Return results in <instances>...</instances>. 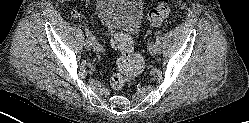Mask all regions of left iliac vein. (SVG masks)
Masks as SVG:
<instances>
[{
    "instance_id": "left-iliac-vein-1",
    "label": "left iliac vein",
    "mask_w": 249,
    "mask_h": 123,
    "mask_svg": "<svg viewBox=\"0 0 249 123\" xmlns=\"http://www.w3.org/2000/svg\"><path fill=\"white\" fill-rule=\"evenodd\" d=\"M149 51L152 55L158 54V45L156 42H152L150 44Z\"/></svg>"
}]
</instances>
